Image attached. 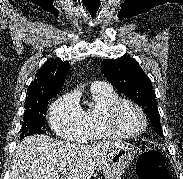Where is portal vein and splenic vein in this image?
<instances>
[{
  "label": "portal vein and splenic vein",
  "instance_id": "18ae733b",
  "mask_svg": "<svg viewBox=\"0 0 183 179\" xmlns=\"http://www.w3.org/2000/svg\"><path fill=\"white\" fill-rule=\"evenodd\" d=\"M61 174H63V175H65V174H67L68 173V170L67 169H63V170H61V172H60Z\"/></svg>",
  "mask_w": 183,
  "mask_h": 179
}]
</instances>
